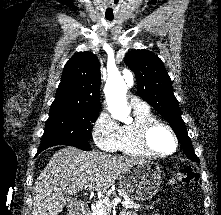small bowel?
Wrapping results in <instances>:
<instances>
[{"mask_svg":"<svg viewBox=\"0 0 221 215\" xmlns=\"http://www.w3.org/2000/svg\"><path fill=\"white\" fill-rule=\"evenodd\" d=\"M121 215H135V214L132 213V212H122ZM152 215H159V214L155 213V214H152Z\"/></svg>","mask_w":221,"mask_h":215,"instance_id":"obj_1","label":"small bowel"}]
</instances>
